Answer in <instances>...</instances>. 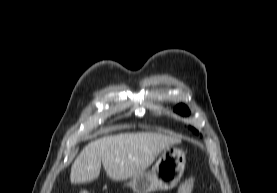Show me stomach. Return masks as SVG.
Segmentation results:
<instances>
[{
  "instance_id": "stomach-1",
  "label": "stomach",
  "mask_w": 277,
  "mask_h": 193,
  "mask_svg": "<svg viewBox=\"0 0 277 193\" xmlns=\"http://www.w3.org/2000/svg\"><path fill=\"white\" fill-rule=\"evenodd\" d=\"M186 164V154L178 148H166L150 172H143L127 183L135 193L170 190L180 181Z\"/></svg>"
}]
</instances>
